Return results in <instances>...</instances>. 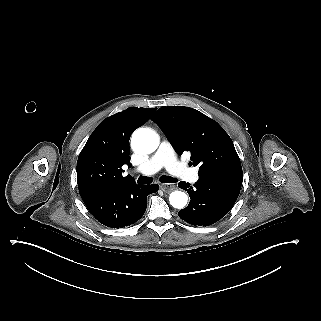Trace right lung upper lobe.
<instances>
[{
  "mask_svg": "<svg viewBox=\"0 0 321 321\" xmlns=\"http://www.w3.org/2000/svg\"><path fill=\"white\" fill-rule=\"evenodd\" d=\"M156 108L130 107L103 120L90 135L77 161V182L82 199L136 184L122 166L131 167L129 139Z\"/></svg>",
  "mask_w": 321,
  "mask_h": 321,
  "instance_id": "right-lung-upper-lobe-1",
  "label": "right lung upper lobe"
}]
</instances>
